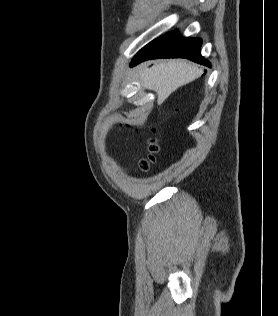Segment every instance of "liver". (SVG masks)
Segmentation results:
<instances>
[{
  "mask_svg": "<svg viewBox=\"0 0 278 316\" xmlns=\"http://www.w3.org/2000/svg\"><path fill=\"white\" fill-rule=\"evenodd\" d=\"M202 69L179 59L155 62L151 68L141 66L138 79L146 89L155 91L161 104L173 91L200 77Z\"/></svg>",
  "mask_w": 278,
  "mask_h": 316,
  "instance_id": "1",
  "label": "liver"
}]
</instances>
